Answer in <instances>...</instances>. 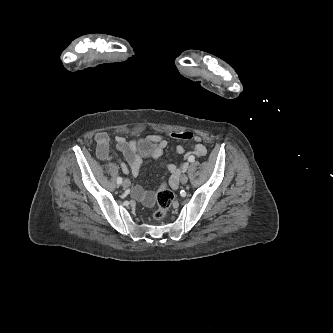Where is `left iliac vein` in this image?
<instances>
[{"label":"left iliac vein","instance_id":"4c4485c4","mask_svg":"<svg viewBox=\"0 0 333 333\" xmlns=\"http://www.w3.org/2000/svg\"><path fill=\"white\" fill-rule=\"evenodd\" d=\"M179 180H180V182H181L182 184H186V183L188 182V177H187L186 174H182V175L180 176Z\"/></svg>","mask_w":333,"mask_h":333}]
</instances>
